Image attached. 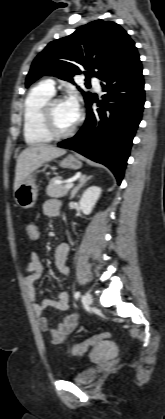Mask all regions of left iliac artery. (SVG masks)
Masks as SVG:
<instances>
[{"mask_svg": "<svg viewBox=\"0 0 165 419\" xmlns=\"http://www.w3.org/2000/svg\"><path fill=\"white\" fill-rule=\"evenodd\" d=\"M81 293L79 291L75 292L74 297L78 299L80 297Z\"/></svg>", "mask_w": 165, "mask_h": 419, "instance_id": "44dca946", "label": "left iliac artery"}]
</instances>
